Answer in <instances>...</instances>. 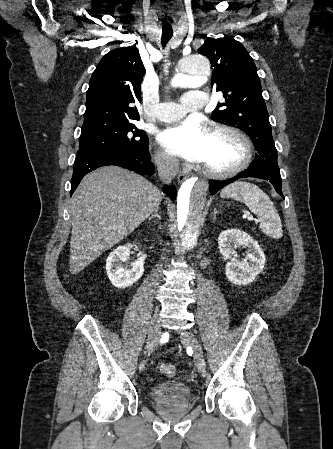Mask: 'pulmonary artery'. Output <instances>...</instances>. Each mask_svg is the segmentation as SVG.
I'll return each mask as SVG.
<instances>
[{
	"instance_id": "obj_1",
	"label": "pulmonary artery",
	"mask_w": 333,
	"mask_h": 449,
	"mask_svg": "<svg viewBox=\"0 0 333 449\" xmlns=\"http://www.w3.org/2000/svg\"><path fill=\"white\" fill-rule=\"evenodd\" d=\"M207 100V96L200 90H190L183 94L180 103L163 102L155 110L158 120L171 122L180 119L189 110L201 109Z\"/></svg>"
}]
</instances>
